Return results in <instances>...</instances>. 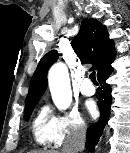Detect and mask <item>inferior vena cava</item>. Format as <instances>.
<instances>
[{
  "instance_id": "inferior-vena-cava-1",
  "label": "inferior vena cava",
  "mask_w": 130,
  "mask_h": 153,
  "mask_svg": "<svg viewBox=\"0 0 130 153\" xmlns=\"http://www.w3.org/2000/svg\"><path fill=\"white\" fill-rule=\"evenodd\" d=\"M85 135V124L80 123L72 128L64 141L62 153H79L84 147Z\"/></svg>"
}]
</instances>
